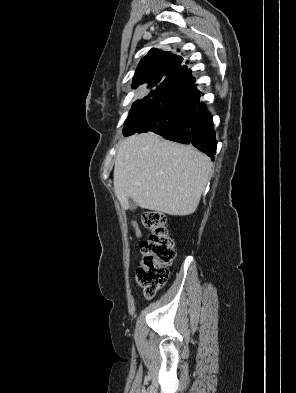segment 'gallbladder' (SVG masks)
I'll return each mask as SVG.
<instances>
[{"label":"gallbladder","mask_w":296,"mask_h":393,"mask_svg":"<svg viewBox=\"0 0 296 393\" xmlns=\"http://www.w3.org/2000/svg\"><path fill=\"white\" fill-rule=\"evenodd\" d=\"M128 202H129V208H130V210L136 209L137 204H136L131 198H128Z\"/></svg>","instance_id":"obj_1"}]
</instances>
